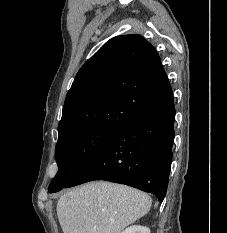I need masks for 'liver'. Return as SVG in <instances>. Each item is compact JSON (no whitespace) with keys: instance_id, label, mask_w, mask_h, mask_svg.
<instances>
[{"instance_id":"obj_1","label":"liver","mask_w":227,"mask_h":233,"mask_svg":"<svg viewBox=\"0 0 227 233\" xmlns=\"http://www.w3.org/2000/svg\"><path fill=\"white\" fill-rule=\"evenodd\" d=\"M150 196L105 181L92 182L63 194L57 216L63 233H121L147 214Z\"/></svg>"}]
</instances>
